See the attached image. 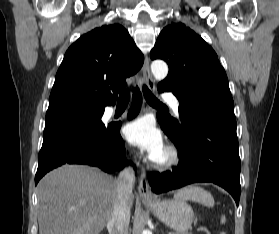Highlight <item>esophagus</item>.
<instances>
[{
	"label": "esophagus",
	"mask_w": 279,
	"mask_h": 234,
	"mask_svg": "<svg viewBox=\"0 0 279 234\" xmlns=\"http://www.w3.org/2000/svg\"><path fill=\"white\" fill-rule=\"evenodd\" d=\"M142 74H143V79L146 83V85L148 86V88L151 91L155 90V84L150 72V65H149V58L146 56L145 60H144V64H143V68H142ZM138 192L139 195L142 199L145 200H153L154 199V195L150 189V186L148 184V180H147V176L146 173L143 172L141 174L140 180H139V185H138Z\"/></svg>",
	"instance_id": "34e87169"
}]
</instances>
